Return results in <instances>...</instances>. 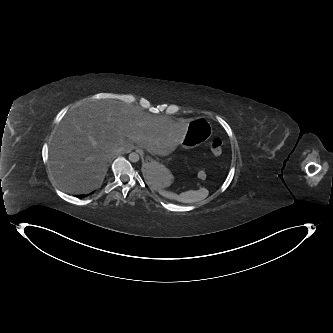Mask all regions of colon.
I'll list each match as a JSON object with an SVG mask.
<instances>
[{
    "instance_id": "1",
    "label": "colon",
    "mask_w": 333,
    "mask_h": 333,
    "mask_svg": "<svg viewBox=\"0 0 333 333\" xmlns=\"http://www.w3.org/2000/svg\"><path fill=\"white\" fill-rule=\"evenodd\" d=\"M210 150H211V153L218 157L221 155L222 153V141L219 137H215L212 141H211V144H210ZM199 176L201 178H204L205 177V172L204 171H200L199 172Z\"/></svg>"
}]
</instances>
